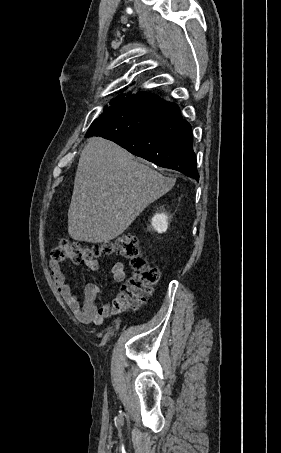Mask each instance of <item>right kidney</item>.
<instances>
[{"mask_svg":"<svg viewBox=\"0 0 281 453\" xmlns=\"http://www.w3.org/2000/svg\"><path fill=\"white\" fill-rule=\"evenodd\" d=\"M151 224L153 229L157 233H165L168 229V216L165 212H156L153 218H151Z\"/></svg>","mask_w":281,"mask_h":453,"instance_id":"ca27d5eb","label":"right kidney"}]
</instances>
